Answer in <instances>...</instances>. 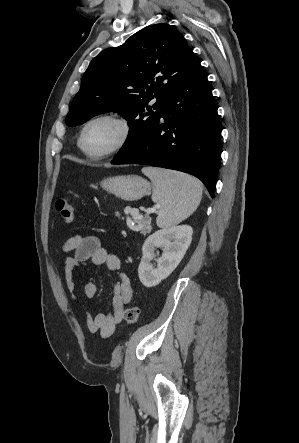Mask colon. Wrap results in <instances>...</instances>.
Listing matches in <instances>:
<instances>
[{
	"label": "colon",
	"mask_w": 299,
	"mask_h": 443,
	"mask_svg": "<svg viewBox=\"0 0 299 443\" xmlns=\"http://www.w3.org/2000/svg\"><path fill=\"white\" fill-rule=\"evenodd\" d=\"M55 208L60 214L65 223L71 224L75 219L74 208L65 197H61L56 201ZM140 317V310L137 306L129 307L124 314V319L129 325H134L138 322Z\"/></svg>",
	"instance_id": "1"
}]
</instances>
